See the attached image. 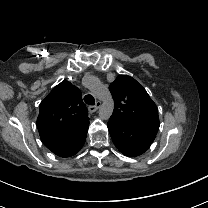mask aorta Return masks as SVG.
Listing matches in <instances>:
<instances>
[{"label":"aorta","mask_w":208,"mask_h":208,"mask_svg":"<svg viewBox=\"0 0 208 208\" xmlns=\"http://www.w3.org/2000/svg\"><path fill=\"white\" fill-rule=\"evenodd\" d=\"M113 105L109 108L105 104L101 105L99 109V115L101 119H108L112 113Z\"/></svg>","instance_id":"762f6f07"}]
</instances>
